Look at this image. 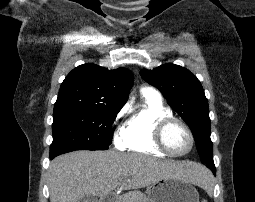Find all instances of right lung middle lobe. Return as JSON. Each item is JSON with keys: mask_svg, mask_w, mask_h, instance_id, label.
Here are the masks:
<instances>
[{"mask_svg": "<svg viewBox=\"0 0 255 202\" xmlns=\"http://www.w3.org/2000/svg\"><path fill=\"white\" fill-rule=\"evenodd\" d=\"M120 109H84L53 115L50 158L88 149L106 150L111 144V125Z\"/></svg>", "mask_w": 255, "mask_h": 202, "instance_id": "dd1d6c3e", "label": "right lung middle lobe"}]
</instances>
